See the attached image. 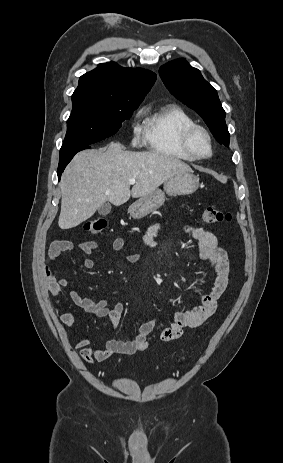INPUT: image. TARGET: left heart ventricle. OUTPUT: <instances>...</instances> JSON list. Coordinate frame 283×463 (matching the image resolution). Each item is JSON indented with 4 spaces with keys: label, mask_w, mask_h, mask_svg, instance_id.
I'll return each mask as SVG.
<instances>
[{
    "label": "left heart ventricle",
    "mask_w": 283,
    "mask_h": 463,
    "mask_svg": "<svg viewBox=\"0 0 283 463\" xmlns=\"http://www.w3.org/2000/svg\"><path fill=\"white\" fill-rule=\"evenodd\" d=\"M194 146L200 154H207L209 152L207 139L200 133L197 134L194 138Z\"/></svg>",
    "instance_id": "1"
}]
</instances>
